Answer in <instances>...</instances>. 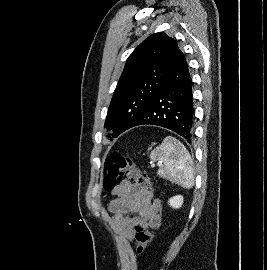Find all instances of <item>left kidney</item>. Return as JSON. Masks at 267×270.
Returning a JSON list of instances; mask_svg holds the SVG:
<instances>
[{"mask_svg": "<svg viewBox=\"0 0 267 270\" xmlns=\"http://www.w3.org/2000/svg\"><path fill=\"white\" fill-rule=\"evenodd\" d=\"M168 203L172 208L178 209L183 204V197L181 195H176V196L170 198Z\"/></svg>", "mask_w": 267, "mask_h": 270, "instance_id": "left-kidney-1", "label": "left kidney"}]
</instances>
